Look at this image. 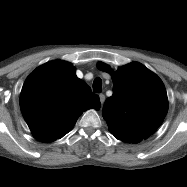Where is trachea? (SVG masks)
Segmentation results:
<instances>
[{
  "instance_id": "3493384b",
  "label": "trachea",
  "mask_w": 187,
  "mask_h": 187,
  "mask_svg": "<svg viewBox=\"0 0 187 187\" xmlns=\"http://www.w3.org/2000/svg\"><path fill=\"white\" fill-rule=\"evenodd\" d=\"M93 91L94 93L102 92V80L98 77L93 82Z\"/></svg>"
}]
</instances>
